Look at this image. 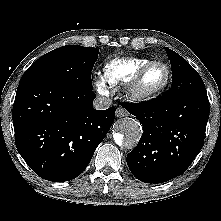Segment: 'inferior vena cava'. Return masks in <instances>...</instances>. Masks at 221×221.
I'll return each mask as SVG.
<instances>
[{"label": "inferior vena cava", "mask_w": 221, "mask_h": 221, "mask_svg": "<svg viewBox=\"0 0 221 221\" xmlns=\"http://www.w3.org/2000/svg\"><path fill=\"white\" fill-rule=\"evenodd\" d=\"M112 101L106 97H98L94 100L93 105L95 109L105 110L111 106Z\"/></svg>", "instance_id": "1"}]
</instances>
